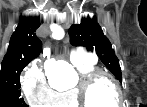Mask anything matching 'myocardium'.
<instances>
[{"instance_id":"myocardium-1","label":"myocardium","mask_w":147,"mask_h":107,"mask_svg":"<svg viewBox=\"0 0 147 107\" xmlns=\"http://www.w3.org/2000/svg\"><path fill=\"white\" fill-rule=\"evenodd\" d=\"M102 79H106L113 84L117 92V104H122V91L118 81L107 72L95 70L81 77L76 86L74 87L77 102L80 107H92L89 102V92L91 88Z\"/></svg>"}]
</instances>
